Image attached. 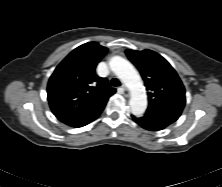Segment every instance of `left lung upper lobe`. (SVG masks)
<instances>
[{
    "label": "left lung upper lobe",
    "instance_id": "5c2ea615",
    "mask_svg": "<svg viewBox=\"0 0 222 187\" xmlns=\"http://www.w3.org/2000/svg\"><path fill=\"white\" fill-rule=\"evenodd\" d=\"M130 61L138 68L148 91V108L183 110L185 89L174 68L152 50H126Z\"/></svg>",
    "mask_w": 222,
    "mask_h": 187
}]
</instances>
